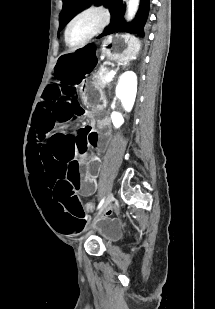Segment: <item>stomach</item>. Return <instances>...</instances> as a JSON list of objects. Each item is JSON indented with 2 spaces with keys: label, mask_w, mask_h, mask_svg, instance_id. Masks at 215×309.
I'll list each match as a JSON object with an SVG mask.
<instances>
[{
  "label": "stomach",
  "mask_w": 215,
  "mask_h": 309,
  "mask_svg": "<svg viewBox=\"0 0 215 309\" xmlns=\"http://www.w3.org/2000/svg\"><path fill=\"white\" fill-rule=\"evenodd\" d=\"M139 50V39L127 33L109 35L102 40L101 44L102 56L118 63H126L135 58ZM82 93L91 102L98 103L103 100L102 87L96 75L83 83Z\"/></svg>",
  "instance_id": "0dacf381"
}]
</instances>
